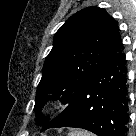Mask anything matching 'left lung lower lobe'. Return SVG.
<instances>
[{
    "mask_svg": "<svg viewBox=\"0 0 136 136\" xmlns=\"http://www.w3.org/2000/svg\"><path fill=\"white\" fill-rule=\"evenodd\" d=\"M118 34L105 60L67 108L42 128L75 127L98 136H124L127 122L126 75Z\"/></svg>",
    "mask_w": 136,
    "mask_h": 136,
    "instance_id": "0a47b994",
    "label": "left lung lower lobe"
}]
</instances>
